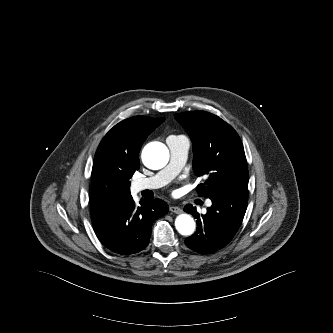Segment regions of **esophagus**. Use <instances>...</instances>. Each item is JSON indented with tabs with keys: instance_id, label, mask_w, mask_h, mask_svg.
I'll list each match as a JSON object with an SVG mask.
<instances>
[{
	"instance_id": "1",
	"label": "esophagus",
	"mask_w": 333,
	"mask_h": 333,
	"mask_svg": "<svg viewBox=\"0 0 333 333\" xmlns=\"http://www.w3.org/2000/svg\"><path fill=\"white\" fill-rule=\"evenodd\" d=\"M170 211L176 214H180L183 212V210L178 206H171Z\"/></svg>"
}]
</instances>
